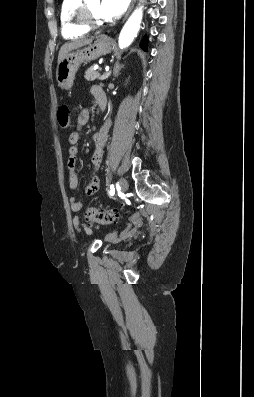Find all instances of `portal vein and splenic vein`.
I'll return each instance as SVG.
<instances>
[{"label":"portal vein and splenic vein","instance_id":"18ae733b","mask_svg":"<svg viewBox=\"0 0 254 397\" xmlns=\"http://www.w3.org/2000/svg\"><path fill=\"white\" fill-rule=\"evenodd\" d=\"M109 76H110V73L107 71L105 74L101 75V76L99 77V79H100V80H104V79H107Z\"/></svg>","mask_w":254,"mask_h":397}]
</instances>
